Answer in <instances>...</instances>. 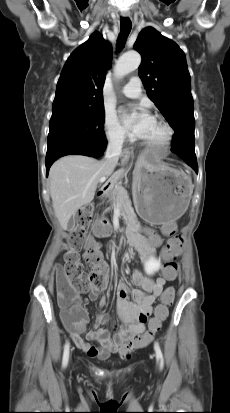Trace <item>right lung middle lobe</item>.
I'll return each mask as SVG.
<instances>
[{"label":"right lung middle lobe","mask_w":230,"mask_h":413,"mask_svg":"<svg viewBox=\"0 0 230 413\" xmlns=\"http://www.w3.org/2000/svg\"><path fill=\"white\" fill-rule=\"evenodd\" d=\"M104 116V108L52 112L47 153L64 145L105 143Z\"/></svg>","instance_id":"obj_1"}]
</instances>
